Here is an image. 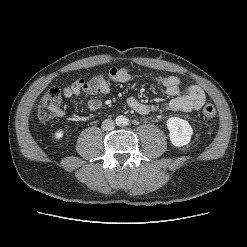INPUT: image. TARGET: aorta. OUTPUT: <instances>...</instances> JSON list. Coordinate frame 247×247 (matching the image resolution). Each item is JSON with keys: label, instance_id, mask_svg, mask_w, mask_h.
Segmentation results:
<instances>
[{"label": "aorta", "instance_id": "1", "mask_svg": "<svg viewBox=\"0 0 247 247\" xmlns=\"http://www.w3.org/2000/svg\"><path fill=\"white\" fill-rule=\"evenodd\" d=\"M116 121H117V124L125 125L127 124L128 119L124 116H119Z\"/></svg>", "mask_w": 247, "mask_h": 247}]
</instances>
